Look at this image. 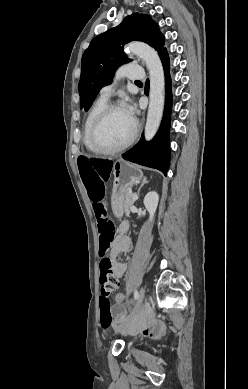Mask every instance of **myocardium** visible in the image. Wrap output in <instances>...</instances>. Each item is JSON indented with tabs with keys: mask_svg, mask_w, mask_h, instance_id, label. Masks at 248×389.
Returning a JSON list of instances; mask_svg holds the SVG:
<instances>
[{
	"mask_svg": "<svg viewBox=\"0 0 248 389\" xmlns=\"http://www.w3.org/2000/svg\"><path fill=\"white\" fill-rule=\"evenodd\" d=\"M116 109H123V106L120 103H116V102L108 103L100 111V113L97 115V117L95 118V120L92 124L91 131H90V140H91L93 147L95 148V150L97 152H100L103 154H113V153L120 152V151L126 149L127 147H129L135 141V139L138 135V130H139L138 124L133 119V122H134L133 132H132L131 136L125 142H123L120 145L113 146V147L104 146L99 142L98 131H99L100 127L102 126V124L104 123V121L108 117V115L113 110H116Z\"/></svg>",
	"mask_w": 248,
	"mask_h": 389,
	"instance_id": "obj_1",
	"label": "myocardium"
}]
</instances>
